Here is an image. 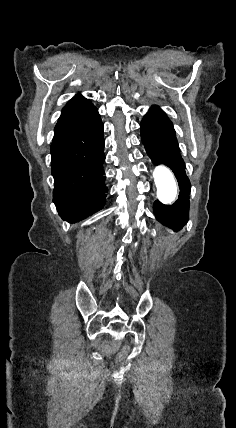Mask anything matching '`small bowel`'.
Segmentation results:
<instances>
[{
  "label": "small bowel",
  "instance_id": "obj_1",
  "mask_svg": "<svg viewBox=\"0 0 236 428\" xmlns=\"http://www.w3.org/2000/svg\"><path fill=\"white\" fill-rule=\"evenodd\" d=\"M109 349H110V348H109L108 346H105V347H104V350H105V351H108Z\"/></svg>",
  "mask_w": 236,
  "mask_h": 428
}]
</instances>
